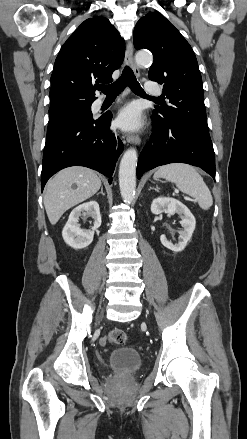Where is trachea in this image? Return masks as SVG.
Returning a JSON list of instances; mask_svg holds the SVG:
<instances>
[{"label":"trachea","mask_w":247,"mask_h":439,"mask_svg":"<svg viewBox=\"0 0 247 439\" xmlns=\"http://www.w3.org/2000/svg\"><path fill=\"white\" fill-rule=\"evenodd\" d=\"M129 87L135 94L147 96L144 90L141 88L139 82L137 81L132 69L126 66L122 72V75L112 84L109 85H101L99 89L106 94L107 96H117L119 95L126 87ZM152 99L158 100L159 98L150 97Z\"/></svg>","instance_id":"trachea-1"}]
</instances>
